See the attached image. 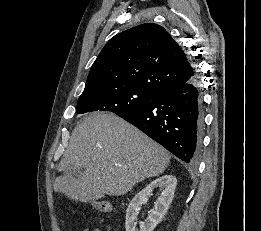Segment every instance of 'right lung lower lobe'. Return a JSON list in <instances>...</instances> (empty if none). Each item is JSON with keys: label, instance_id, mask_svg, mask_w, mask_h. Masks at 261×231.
<instances>
[{"label": "right lung lower lobe", "instance_id": "obj_1", "mask_svg": "<svg viewBox=\"0 0 261 231\" xmlns=\"http://www.w3.org/2000/svg\"><path fill=\"white\" fill-rule=\"evenodd\" d=\"M182 161H198L203 127L196 77L158 94L146 105L119 115Z\"/></svg>", "mask_w": 261, "mask_h": 231}]
</instances>
